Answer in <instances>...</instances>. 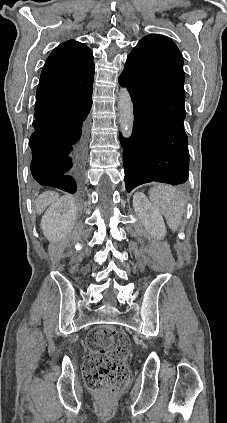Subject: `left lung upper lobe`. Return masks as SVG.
<instances>
[{"mask_svg":"<svg viewBox=\"0 0 227 423\" xmlns=\"http://www.w3.org/2000/svg\"><path fill=\"white\" fill-rule=\"evenodd\" d=\"M119 80L148 91L152 105L162 112H185L183 58L165 36L143 37L129 54Z\"/></svg>","mask_w":227,"mask_h":423,"instance_id":"left-lung-upper-lobe-1","label":"left lung upper lobe"}]
</instances>
